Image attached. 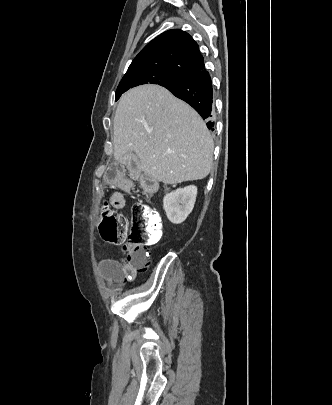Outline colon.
Segmentation results:
<instances>
[{"label": "colon", "mask_w": 332, "mask_h": 405, "mask_svg": "<svg viewBox=\"0 0 332 405\" xmlns=\"http://www.w3.org/2000/svg\"><path fill=\"white\" fill-rule=\"evenodd\" d=\"M142 188L154 193L156 182L148 175L140 176ZM99 232L102 239L108 243H117L128 237L124 244V258L122 266L127 273L142 271L149 263L148 254L144 248L146 243L158 242L162 234V221L160 215L143 203H135L131 207L129 219L113 206L106 204L99 223Z\"/></svg>", "instance_id": "colon-1"}]
</instances>
